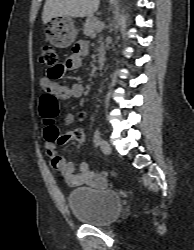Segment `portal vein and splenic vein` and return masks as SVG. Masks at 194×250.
<instances>
[{
	"instance_id": "1",
	"label": "portal vein and splenic vein",
	"mask_w": 194,
	"mask_h": 250,
	"mask_svg": "<svg viewBox=\"0 0 194 250\" xmlns=\"http://www.w3.org/2000/svg\"><path fill=\"white\" fill-rule=\"evenodd\" d=\"M101 27H104V23L103 22H101Z\"/></svg>"
}]
</instances>
